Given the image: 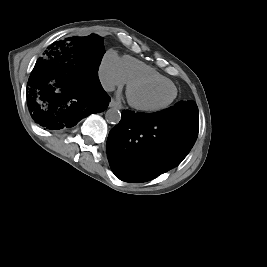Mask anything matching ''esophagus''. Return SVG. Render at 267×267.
I'll list each match as a JSON object with an SVG mask.
<instances>
[{
    "mask_svg": "<svg viewBox=\"0 0 267 267\" xmlns=\"http://www.w3.org/2000/svg\"><path fill=\"white\" fill-rule=\"evenodd\" d=\"M109 107H111V108H119V109L122 108L121 105L118 102H116L114 99H111V101L109 103Z\"/></svg>",
    "mask_w": 267,
    "mask_h": 267,
    "instance_id": "1",
    "label": "esophagus"
}]
</instances>
